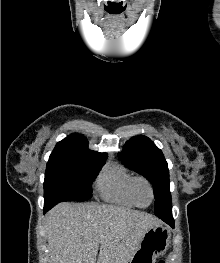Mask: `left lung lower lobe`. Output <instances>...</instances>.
<instances>
[{
    "label": "left lung lower lobe",
    "instance_id": "1",
    "mask_svg": "<svg viewBox=\"0 0 220 263\" xmlns=\"http://www.w3.org/2000/svg\"><path fill=\"white\" fill-rule=\"evenodd\" d=\"M156 216L162 219L167 224H169L172 228H174V219L172 217V211H168L164 214H157Z\"/></svg>",
    "mask_w": 220,
    "mask_h": 263
}]
</instances>
